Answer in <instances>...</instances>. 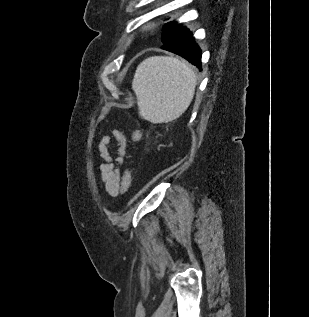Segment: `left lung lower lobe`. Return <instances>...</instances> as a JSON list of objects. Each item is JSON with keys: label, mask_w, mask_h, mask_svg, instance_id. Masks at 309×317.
Listing matches in <instances>:
<instances>
[{"label": "left lung lower lobe", "mask_w": 309, "mask_h": 317, "mask_svg": "<svg viewBox=\"0 0 309 317\" xmlns=\"http://www.w3.org/2000/svg\"><path fill=\"white\" fill-rule=\"evenodd\" d=\"M162 49L173 52L198 68H201V50L196 44L193 33L185 28L179 35L165 43Z\"/></svg>", "instance_id": "obj_1"}]
</instances>
